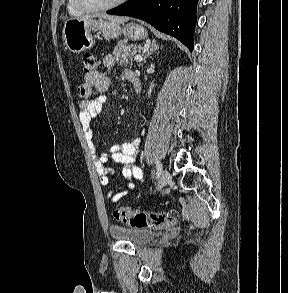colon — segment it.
<instances>
[{"label": "colon", "instance_id": "5ec220e1", "mask_svg": "<svg viewBox=\"0 0 288 293\" xmlns=\"http://www.w3.org/2000/svg\"><path fill=\"white\" fill-rule=\"evenodd\" d=\"M85 75L96 72L99 61L93 54H84L82 58ZM116 220L132 227L164 229L177 222L179 214L175 210L167 212H143L127 207H116L113 211Z\"/></svg>", "mask_w": 288, "mask_h": 293}]
</instances>
